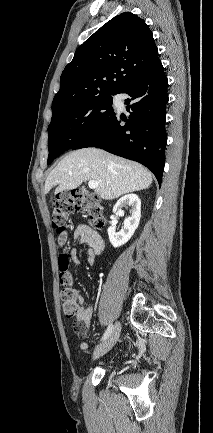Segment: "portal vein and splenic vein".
Listing matches in <instances>:
<instances>
[{
	"label": "portal vein and splenic vein",
	"instance_id": "obj_1",
	"mask_svg": "<svg viewBox=\"0 0 213 433\" xmlns=\"http://www.w3.org/2000/svg\"><path fill=\"white\" fill-rule=\"evenodd\" d=\"M99 183L97 181H89L88 186L90 189H96Z\"/></svg>",
	"mask_w": 213,
	"mask_h": 433
}]
</instances>
